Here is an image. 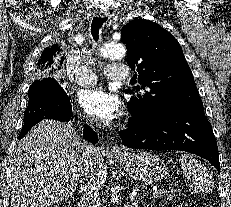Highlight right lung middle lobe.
<instances>
[{
	"label": "right lung middle lobe",
	"instance_id": "dd1d6c3e",
	"mask_svg": "<svg viewBox=\"0 0 231 207\" xmlns=\"http://www.w3.org/2000/svg\"><path fill=\"white\" fill-rule=\"evenodd\" d=\"M38 83H40V80L35 81V82L30 86L29 91H28L29 99H31V98L33 97V94H34V92H33L34 87H32V86H33V85H36V84H38Z\"/></svg>",
	"mask_w": 231,
	"mask_h": 207
}]
</instances>
